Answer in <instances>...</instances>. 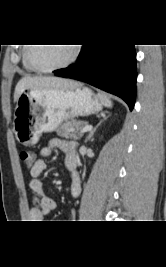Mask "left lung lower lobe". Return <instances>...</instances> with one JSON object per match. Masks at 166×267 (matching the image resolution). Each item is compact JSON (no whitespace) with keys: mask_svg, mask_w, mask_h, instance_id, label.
<instances>
[{"mask_svg":"<svg viewBox=\"0 0 166 267\" xmlns=\"http://www.w3.org/2000/svg\"><path fill=\"white\" fill-rule=\"evenodd\" d=\"M78 59L74 65L55 70V75L115 94L133 109L137 79L134 45H83Z\"/></svg>","mask_w":166,"mask_h":267,"instance_id":"0a47b994","label":"left lung lower lobe"}]
</instances>
